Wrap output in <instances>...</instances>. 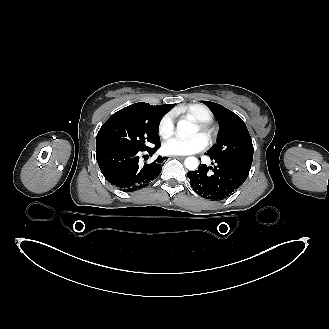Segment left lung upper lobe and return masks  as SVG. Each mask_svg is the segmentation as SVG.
<instances>
[{
    "mask_svg": "<svg viewBox=\"0 0 329 329\" xmlns=\"http://www.w3.org/2000/svg\"><path fill=\"white\" fill-rule=\"evenodd\" d=\"M220 122L218 142L207 152L210 158H218L252 165L253 144L243 120L220 104L201 101Z\"/></svg>",
    "mask_w": 329,
    "mask_h": 329,
    "instance_id": "left-lung-upper-lobe-1",
    "label": "left lung upper lobe"
}]
</instances>
